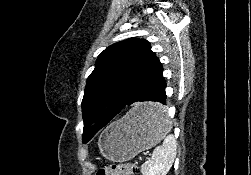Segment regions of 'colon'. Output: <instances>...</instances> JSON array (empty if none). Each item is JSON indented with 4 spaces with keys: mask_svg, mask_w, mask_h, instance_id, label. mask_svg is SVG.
<instances>
[{
    "mask_svg": "<svg viewBox=\"0 0 251 175\" xmlns=\"http://www.w3.org/2000/svg\"><path fill=\"white\" fill-rule=\"evenodd\" d=\"M136 171L134 163H118L99 169L96 175H134Z\"/></svg>",
    "mask_w": 251,
    "mask_h": 175,
    "instance_id": "colon-1",
    "label": "colon"
}]
</instances>
